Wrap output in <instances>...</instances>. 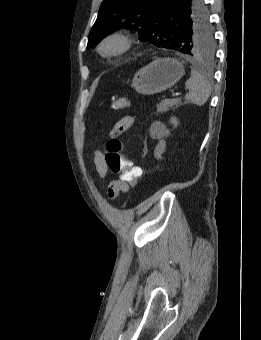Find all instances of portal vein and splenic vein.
<instances>
[{
	"mask_svg": "<svg viewBox=\"0 0 261 340\" xmlns=\"http://www.w3.org/2000/svg\"><path fill=\"white\" fill-rule=\"evenodd\" d=\"M179 95H181V94L178 93V92H173V93H172V96H173V97H178Z\"/></svg>",
	"mask_w": 261,
	"mask_h": 340,
	"instance_id": "18ae733b",
	"label": "portal vein and splenic vein"
}]
</instances>
